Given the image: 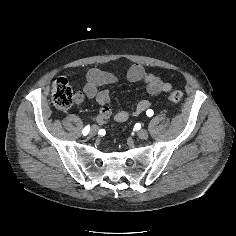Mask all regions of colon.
I'll return each instance as SVG.
<instances>
[{
  "mask_svg": "<svg viewBox=\"0 0 236 236\" xmlns=\"http://www.w3.org/2000/svg\"><path fill=\"white\" fill-rule=\"evenodd\" d=\"M51 95L53 103L58 109L66 110L73 104L74 94L65 78H58L53 82ZM182 98L183 93L180 90H174L168 96L171 103H179Z\"/></svg>",
  "mask_w": 236,
  "mask_h": 236,
  "instance_id": "5ec220e1",
  "label": "colon"
}]
</instances>
